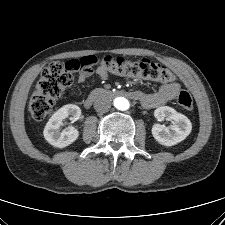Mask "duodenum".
I'll return each mask as SVG.
<instances>
[{"label": "duodenum", "mask_w": 225, "mask_h": 225, "mask_svg": "<svg viewBox=\"0 0 225 225\" xmlns=\"http://www.w3.org/2000/svg\"><path fill=\"white\" fill-rule=\"evenodd\" d=\"M117 95L139 99L138 92H130L125 90L112 91V90H106V89H96L85 99L84 106L86 108H89L91 107L92 103L95 100L100 99L101 97H104V96L110 97V96H117Z\"/></svg>", "instance_id": "410a0bca"}]
</instances>
